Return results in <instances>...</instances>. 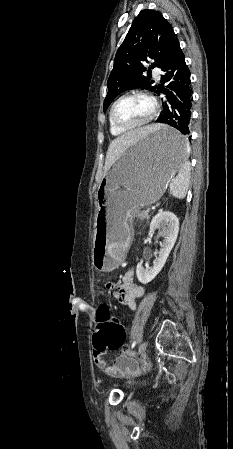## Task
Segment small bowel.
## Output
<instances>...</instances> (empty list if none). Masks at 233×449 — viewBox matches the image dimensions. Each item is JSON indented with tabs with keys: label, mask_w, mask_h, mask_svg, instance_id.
I'll return each instance as SVG.
<instances>
[{
	"label": "small bowel",
	"mask_w": 233,
	"mask_h": 449,
	"mask_svg": "<svg viewBox=\"0 0 233 449\" xmlns=\"http://www.w3.org/2000/svg\"><path fill=\"white\" fill-rule=\"evenodd\" d=\"M106 291H114L116 284L113 280H108L104 284ZM144 289L141 285L134 281V270L131 268L127 270L120 278L119 288L115 292V297L128 308L134 310L136 307V300L143 295ZM96 311H94V319L96 318ZM96 333V331H95ZM94 361L96 366L104 371L106 374L112 377L119 376L124 369H127L130 365V359L127 355L123 354L116 357L112 365H108L107 361L101 353L96 349L94 351Z\"/></svg>",
	"instance_id": "1"
}]
</instances>
